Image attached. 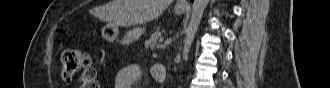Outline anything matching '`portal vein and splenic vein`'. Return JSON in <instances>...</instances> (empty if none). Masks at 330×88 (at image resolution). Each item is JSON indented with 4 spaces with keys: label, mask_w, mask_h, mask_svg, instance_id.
I'll return each instance as SVG.
<instances>
[{
    "label": "portal vein and splenic vein",
    "mask_w": 330,
    "mask_h": 88,
    "mask_svg": "<svg viewBox=\"0 0 330 88\" xmlns=\"http://www.w3.org/2000/svg\"><path fill=\"white\" fill-rule=\"evenodd\" d=\"M171 42H172V40H171V39H167V40L164 42V46H167V45H169Z\"/></svg>",
    "instance_id": "portal-vein-and-splenic-vein-1"
}]
</instances>
